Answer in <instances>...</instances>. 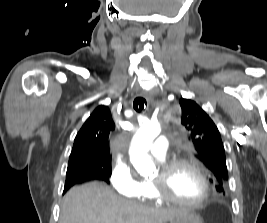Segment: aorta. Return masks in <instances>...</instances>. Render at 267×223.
I'll return each instance as SVG.
<instances>
[{"mask_svg": "<svg viewBox=\"0 0 267 223\" xmlns=\"http://www.w3.org/2000/svg\"><path fill=\"white\" fill-rule=\"evenodd\" d=\"M158 122L144 123L134 135L129 150L130 160L134 168L142 176H150L156 169L153 161L148 155L153 140L160 134Z\"/></svg>", "mask_w": 267, "mask_h": 223, "instance_id": "1", "label": "aorta"}]
</instances>
